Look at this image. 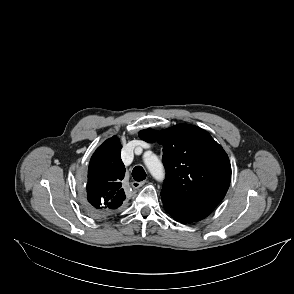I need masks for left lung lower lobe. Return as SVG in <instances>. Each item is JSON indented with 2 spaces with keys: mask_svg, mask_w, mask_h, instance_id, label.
Here are the masks:
<instances>
[{
  "mask_svg": "<svg viewBox=\"0 0 294 294\" xmlns=\"http://www.w3.org/2000/svg\"><path fill=\"white\" fill-rule=\"evenodd\" d=\"M167 212L171 213V215L175 218V220L180 221L182 223H190V222H193V221H189V220H186V219L182 218L181 216L177 215L176 213H173V212H170V211H167Z\"/></svg>",
  "mask_w": 294,
  "mask_h": 294,
  "instance_id": "obj_1",
  "label": "left lung lower lobe"
}]
</instances>
